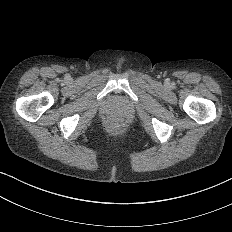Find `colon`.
Returning <instances> with one entry per match:
<instances>
[{"mask_svg": "<svg viewBox=\"0 0 232 232\" xmlns=\"http://www.w3.org/2000/svg\"><path fill=\"white\" fill-rule=\"evenodd\" d=\"M109 130L113 134H120L124 130V123L120 119H113L109 123Z\"/></svg>", "mask_w": 232, "mask_h": 232, "instance_id": "obj_1", "label": "colon"}]
</instances>
